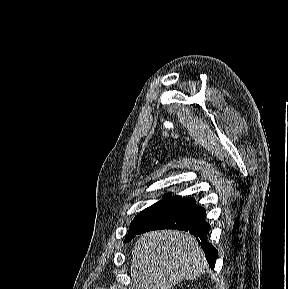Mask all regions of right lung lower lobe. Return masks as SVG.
<instances>
[{
	"instance_id": "1",
	"label": "right lung lower lobe",
	"mask_w": 288,
	"mask_h": 289,
	"mask_svg": "<svg viewBox=\"0 0 288 289\" xmlns=\"http://www.w3.org/2000/svg\"><path fill=\"white\" fill-rule=\"evenodd\" d=\"M165 228L189 231L191 234H194L202 245L210 267L214 268L218 252L206 240L210 226L205 221V209L197 205L192 198H183L170 210L138 231L137 234Z\"/></svg>"
}]
</instances>
